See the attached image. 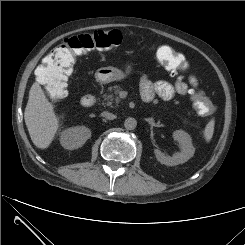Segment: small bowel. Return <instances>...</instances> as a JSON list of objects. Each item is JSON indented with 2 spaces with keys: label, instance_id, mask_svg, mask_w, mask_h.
Segmentation results:
<instances>
[{
  "label": "small bowel",
  "instance_id": "obj_1",
  "mask_svg": "<svg viewBox=\"0 0 245 245\" xmlns=\"http://www.w3.org/2000/svg\"><path fill=\"white\" fill-rule=\"evenodd\" d=\"M198 87V79L195 75L190 74L187 81L177 78L171 84L165 81L152 82L147 76L140 78V90L142 98L145 102H151L155 96H159L163 100H172L175 96H185Z\"/></svg>",
  "mask_w": 245,
  "mask_h": 245
}]
</instances>
